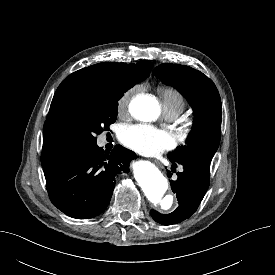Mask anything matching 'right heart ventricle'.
I'll list each match as a JSON object with an SVG mask.
<instances>
[{"instance_id":"right-heart-ventricle-1","label":"right heart ventricle","mask_w":275,"mask_h":275,"mask_svg":"<svg viewBox=\"0 0 275 275\" xmlns=\"http://www.w3.org/2000/svg\"><path fill=\"white\" fill-rule=\"evenodd\" d=\"M164 111H176L179 114L184 110L186 102L182 93L171 86L161 87L158 90Z\"/></svg>"}]
</instances>
